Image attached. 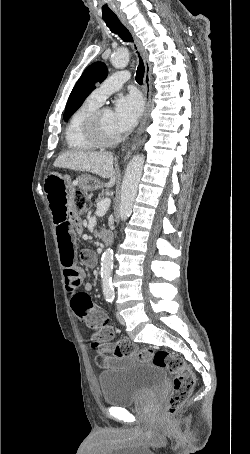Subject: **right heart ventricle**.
Listing matches in <instances>:
<instances>
[{"instance_id":"obj_1","label":"right heart ventricle","mask_w":250,"mask_h":454,"mask_svg":"<svg viewBox=\"0 0 250 454\" xmlns=\"http://www.w3.org/2000/svg\"><path fill=\"white\" fill-rule=\"evenodd\" d=\"M100 107V104L86 99L72 114L65 129V141L72 151H89L97 146L87 137L85 125L87 118Z\"/></svg>"}]
</instances>
